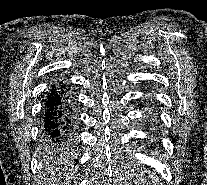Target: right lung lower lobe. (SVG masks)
Masks as SVG:
<instances>
[{
  "label": "right lung lower lobe",
  "instance_id": "right-lung-lower-lobe-1",
  "mask_svg": "<svg viewBox=\"0 0 207 185\" xmlns=\"http://www.w3.org/2000/svg\"><path fill=\"white\" fill-rule=\"evenodd\" d=\"M66 92L62 82L52 84L44 99L42 141L50 149H66L73 144L75 110Z\"/></svg>",
  "mask_w": 207,
  "mask_h": 185
}]
</instances>
